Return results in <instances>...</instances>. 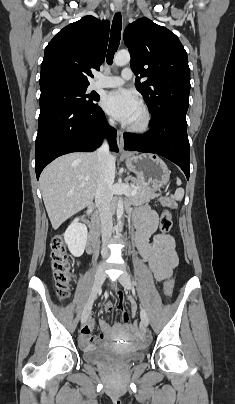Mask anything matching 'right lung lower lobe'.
Masks as SVG:
<instances>
[{"label": "right lung lower lobe", "instance_id": "right-lung-lower-lobe-1", "mask_svg": "<svg viewBox=\"0 0 235 404\" xmlns=\"http://www.w3.org/2000/svg\"><path fill=\"white\" fill-rule=\"evenodd\" d=\"M116 134L96 104L86 108L62 104L40 106L35 142L37 179L43 168L55 158L71 152L94 151L104 137H107L110 149L118 152Z\"/></svg>", "mask_w": 235, "mask_h": 404}]
</instances>
